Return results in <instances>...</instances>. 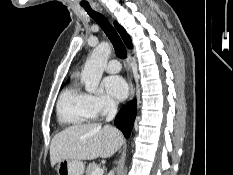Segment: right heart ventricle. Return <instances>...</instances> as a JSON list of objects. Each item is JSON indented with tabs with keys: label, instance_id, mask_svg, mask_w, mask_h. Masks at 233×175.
<instances>
[{
	"label": "right heart ventricle",
	"instance_id": "right-heart-ventricle-1",
	"mask_svg": "<svg viewBox=\"0 0 233 175\" xmlns=\"http://www.w3.org/2000/svg\"><path fill=\"white\" fill-rule=\"evenodd\" d=\"M56 112L59 122L67 126H81L95 117L90 94L81 90L76 84H71L62 90Z\"/></svg>",
	"mask_w": 233,
	"mask_h": 175
}]
</instances>
